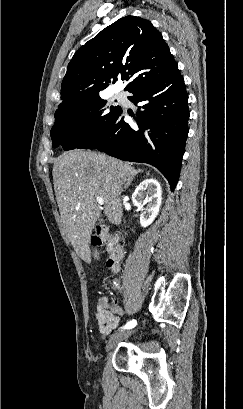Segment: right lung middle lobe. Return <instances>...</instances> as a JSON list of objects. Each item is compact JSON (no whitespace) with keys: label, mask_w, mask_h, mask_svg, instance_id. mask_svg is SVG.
I'll list each match as a JSON object with an SVG mask.
<instances>
[{"label":"right lung middle lobe","mask_w":243,"mask_h":409,"mask_svg":"<svg viewBox=\"0 0 243 409\" xmlns=\"http://www.w3.org/2000/svg\"><path fill=\"white\" fill-rule=\"evenodd\" d=\"M120 106H106L100 97L88 99L55 112L51 129L52 147L75 149L87 136H93L113 120Z\"/></svg>","instance_id":"right-lung-middle-lobe-1"}]
</instances>
